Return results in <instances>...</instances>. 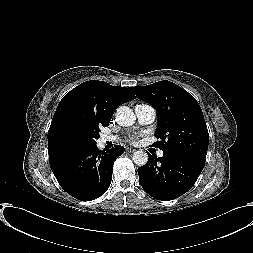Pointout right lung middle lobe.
I'll list each match as a JSON object with an SVG mask.
<instances>
[{"instance_id":"dd1d6c3e","label":"right lung middle lobe","mask_w":253,"mask_h":253,"mask_svg":"<svg viewBox=\"0 0 253 253\" xmlns=\"http://www.w3.org/2000/svg\"><path fill=\"white\" fill-rule=\"evenodd\" d=\"M99 127L79 119H69L59 125L55 139L57 144L66 150L93 146L99 138Z\"/></svg>"}]
</instances>
